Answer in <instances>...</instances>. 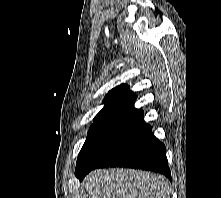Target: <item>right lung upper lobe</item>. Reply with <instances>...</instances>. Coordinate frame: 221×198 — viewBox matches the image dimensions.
Listing matches in <instances>:
<instances>
[{
    "label": "right lung upper lobe",
    "mask_w": 221,
    "mask_h": 198,
    "mask_svg": "<svg viewBox=\"0 0 221 198\" xmlns=\"http://www.w3.org/2000/svg\"><path fill=\"white\" fill-rule=\"evenodd\" d=\"M136 95L129 86L122 84L112 89L105 97L104 108L94 118V123L125 121L144 123L143 111L134 107Z\"/></svg>",
    "instance_id": "right-lung-upper-lobe-1"
}]
</instances>
